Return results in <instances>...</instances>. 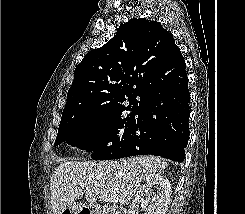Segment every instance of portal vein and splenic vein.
<instances>
[{
    "mask_svg": "<svg viewBox=\"0 0 245 214\" xmlns=\"http://www.w3.org/2000/svg\"><path fill=\"white\" fill-rule=\"evenodd\" d=\"M79 186L84 188L85 184L79 183ZM100 198L103 199L106 202H116L118 200L116 195L103 194V195H100Z\"/></svg>",
    "mask_w": 245,
    "mask_h": 214,
    "instance_id": "obj_1",
    "label": "portal vein and splenic vein"
}]
</instances>
